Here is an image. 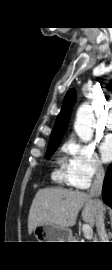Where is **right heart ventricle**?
<instances>
[{"instance_id": "obj_1", "label": "right heart ventricle", "mask_w": 112, "mask_h": 270, "mask_svg": "<svg viewBox=\"0 0 112 270\" xmlns=\"http://www.w3.org/2000/svg\"><path fill=\"white\" fill-rule=\"evenodd\" d=\"M58 164H61V160H58ZM53 179L56 180L58 183H62L64 181L67 182V176L66 172L63 170V168L56 169L53 172Z\"/></svg>"}]
</instances>
